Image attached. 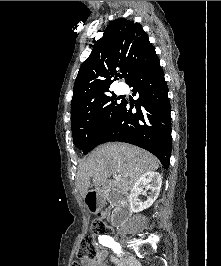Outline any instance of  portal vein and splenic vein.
Wrapping results in <instances>:
<instances>
[{
  "mask_svg": "<svg viewBox=\"0 0 221 266\" xmlns=\"http://www.w3.org/2000/svg\"><path fill=\"white\" fill-rule=\"evenodd\" d=\"M114 179L117 180V181H120L121 180V176L120 175H114Z\"/></svg>",
  "mask_w": 221,
  "mask_h": 266,
  "instance_id": "1",
  "label": "portal vein and splenic vein"
}]
</instances>
